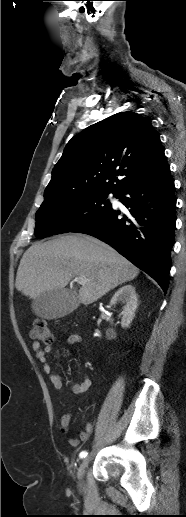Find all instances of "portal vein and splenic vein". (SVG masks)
Returning a JSON list of instances; mask_svg holds the SVG:
<instances>
[{"instance_id": "portal-vein-and-splenic-vein-1", "label": "portal vein and splenic vein", "mask_w": 186, "mask_h": 517, "mask_svg": "<svg viewBox=\"0 0 186 517\" xmlns=\"http://www.w3.org/2000/svg\"><path fill=\"white\" fill-rule=\"evenodd\" d=\"M75 281L78 282L81 285H84V284L87 283L88 280L86 278H84V277H76Z\"/></svg>"}]
</instances>
